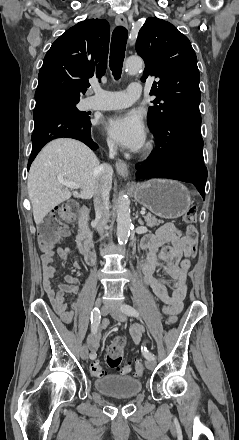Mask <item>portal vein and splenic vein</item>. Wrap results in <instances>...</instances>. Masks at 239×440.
<instances>
[{
    "instance_id": "obj_1",
    "label": "portal vein and splenic vein",
    "mask_w": 239,
    "mask_h": 440,
    "mask_svg": "<svg viewBox=\"0 0 239 440\" xmlns=\"http://www.w3.org/2000/svg\"><path fill=\"white\" fill-rule=\"evenodd\" d=\"M58 180L62 186H65V188H73V190H78V188H80L79 184H75V182H66L63 178H58ZM140 214H146L145 210H141Z\"/></svg>"
}]
</instances>
